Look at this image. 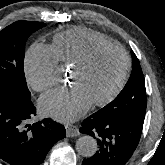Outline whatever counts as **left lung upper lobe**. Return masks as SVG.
Masks as SVG:
<instances>
[{
	"instance_id": "left-lung-upper-lobe-1",
	"label": "left lung upper lobe",
	"mask_w": 165,
	"mask_h": 165,
	"mask_svg": "<svg viewBox=\"0 0 165 165\" xmlns=\"http://www.w3.org/2000/svg\"><path fill=\"white\" fill-rule=\"evenodd\" d=\"M130 79L120 94L108 105L92 114L101 119L144 123L146 113L145 81L139 60L132 52Z\"/></svg>"
}]
</instances>
